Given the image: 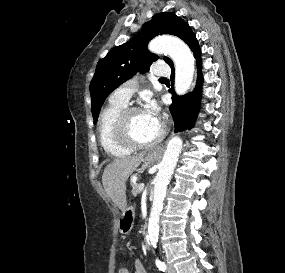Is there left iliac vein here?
I'll use <instances>...</instances> for the list:
<instances>
[{"mask_svg":"<svg viewBox=\"0 0 285 273\" xmlns=\"http://www.w3.org/2000/svg\"><path fill=\"white\" fill-rule=\"evenodd\" d=\"M167 273H176V270L174 269L172 265H169L167 268Z\"/></svg>","mask_w":285,"mask_h":273,"instance_id":"1","label":"left iliac vein"}]
</instances>
